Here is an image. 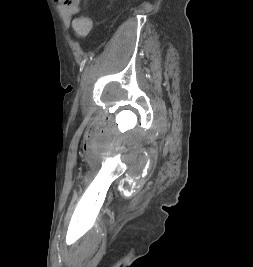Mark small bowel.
I'll return each mask as SVG.
<instances>
[{"mask_svg": "<svg viewBox=\"0 0 253 267\" xmlns=\"http://www.w3.org/2000/svg\"><path fill=\"white\" fill-rule=\"evenodd\" d=\"M61 15L62 21L69 26L72 17L81 10V0H54Z\"/></svg>", "mask_w": 253, "mask_h": 267, "instance_id": "small-bowel-1", "label": "small bowel"}]
</instances>
